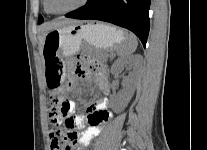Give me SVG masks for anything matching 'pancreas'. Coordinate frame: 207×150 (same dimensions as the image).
<instances>
[{
  "label": "pancreas",
  "mask_w": 207,
  "mask_h": 150,
  "mask_svg": "<svg viewBox=\"0 0 207 150\" xmlns=\"http://www.w3.org/2000/svg\"><path fill=\"white\" fill-rule=\"evenodd\" d=\"M108 57H109V55L106 53L105 55H103L101 60L102 61H106L108 59Z\"/></svg>",
  "instance_id": "cf45deb5"
}]
</instances>
